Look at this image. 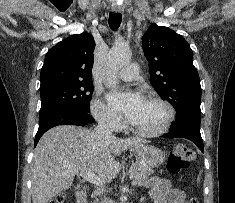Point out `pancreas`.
I'll return each instance as SVG.
<instances>
[{
    "label": "pancreas",
    "instance_id": "1",
    "mask_svg": "<svg viewBox=\"0 0 235 203\" xmlns=\"http://www.w3.org/2000/svg\"><path fill=\"white\" fill-rule=\"evenodd\" d=\"M153 172L151 168L140 164H133L129 169L130 177L135 179L139 185H143Z\"/></svg>",
    "mask_w": 235,
    "mask_h": 203
}]
</instances>
